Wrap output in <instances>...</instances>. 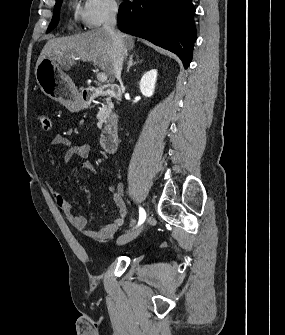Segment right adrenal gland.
Masks as SVG:
<instances>
[{
	"mask_svg": "<svg viewBox=\"0 0 285 335\" xmlns=\"http://www.w3.org/2000/svg\"><path fill=\"white\" fill-rule=\"evenodd\" d=\"M133 56L134 54H131L128 62H127V70L126 72H129L131 66H134V64H142L143 60H139V62H133Z\"/></svg>",
	"mask_w": 285,
	"mask_h": 335,
	"instance_id": "1",
	"label": "right adrenal gland"
}]
</instances>
